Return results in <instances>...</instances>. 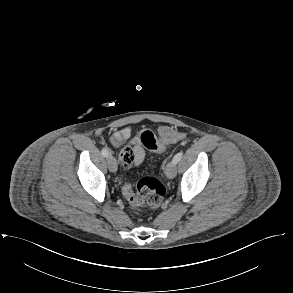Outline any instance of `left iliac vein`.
Wrapping results in <instances>:
<instances>
[{
  "label": "left iliac vein",
  "mask_w": 293,
  "mask_h": 293,
  "mask_svg": "<svg viewBox=\"0 0 293 293\" xmlns=\"http://www.w3.org/2000/svg\"><path fill=\"white\" fill-rule=\"evenodd\" d=\"M176 173V163L172 160L166 165L165 174L169 179H173L176 176Z\"/></svg>",
  "instance_id": "1"
}]
</instances>
